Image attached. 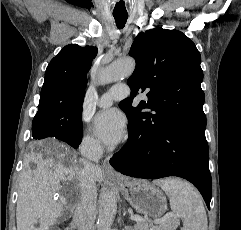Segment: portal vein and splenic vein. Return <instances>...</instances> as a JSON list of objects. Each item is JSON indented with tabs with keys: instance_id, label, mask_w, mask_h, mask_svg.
Segmentation results:
<instances>
[{
	"instance_id": "18ae733b",
	"label": "portal vein and splenic vein",
	"mask_w": 241,
	"mask_h": 230,
	"mask_svg": "<svg viewBox=\"0 0 241 230\" xmlns=\"http://www.w3.org/2000/svg\"><path fill=\"white\" fill-rule=\"evenodd\" d=\"M174 217H175V215L173 213H168L165 216H163L162 218L155 220L154 223L160 225ZM131 219L134 221H137V222H145V219H143L142 217H139V216H131Z\"/></svg>"
}]
</instances>
